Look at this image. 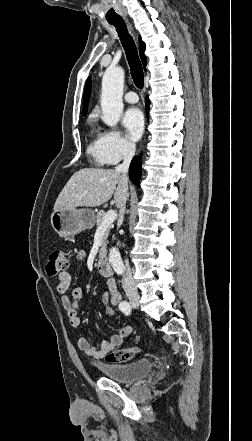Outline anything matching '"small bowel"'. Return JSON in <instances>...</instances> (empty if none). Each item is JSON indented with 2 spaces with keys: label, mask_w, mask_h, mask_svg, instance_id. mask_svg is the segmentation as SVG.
Returning a JSON list of instances; mask_svg holds the SVG:
<instances>
[{
  "label": "small bowel",
  "mask_w": 252,
  "mask_h": 441,
  "mask_svg": "<svg viewBox=\"0 0 252 441\" xmlns=\"http://www.w3.org/2000/svg\"><path fill=\"white\" fill-rule=\"evenodd\" d=\"M86 257V251L80 250L75 255V261L79 262ZM71 284L70 268L63 270L58 275L57 291L62 294V306L69 318V323L73 328L80 327V318L78 317V308L80 300L83 296L81 288H74L70 294H67ZM121 294L117 290L116 283L113 279H108L106 282V290L102 295L103 305L116 306L120 304ZM133 329L131 326L121 327L115 334L111 336L108 341H101L99 346H94L85 338L78 340V347L88 356L95 359H103L105 356L120 347L125 340L131 335Z\"/></svg>",
  "instance_id": "small-bowel-1"
}]
</instances>
